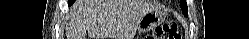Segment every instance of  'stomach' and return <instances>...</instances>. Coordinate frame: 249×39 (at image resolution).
<instances>
[{"label":"stomach","mask_w":249,"mask_h":39,"mask_svg":"<svg viewBox=\"0 0 249 39\" xmlns=\"http://www.w3.org/2000/svg\"><path fill=\"white\" fill-rule=\"evenodd\" d=\"M164 14L157 10L146 13L138 22V31L147 32L164 21Z\"/></svg>","instance_id":"0dacf381"}]
</instances>
